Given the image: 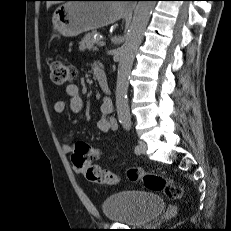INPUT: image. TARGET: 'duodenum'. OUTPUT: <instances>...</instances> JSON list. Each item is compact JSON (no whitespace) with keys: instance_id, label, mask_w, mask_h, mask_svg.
Instances as JSON below:
<instances>
[{"instance_id":"obj_1","label":"duodenum","mask_w":231,"mask_h":231,"mask_svg":"<svg viewBox=\"0 0 231 231\" xmlns=\"http://www.w3.org/2000/svg\"><path fill=\"white\" fill-rule=\"evenodd\" d=\"M94 73H95L96 79H97L98 84L101 87V89L105 93L109 94L110 93V86H109V82H108L106 73L103 70V68L101 66H96L94 68Z\"/></svg>"}]
</instances>
